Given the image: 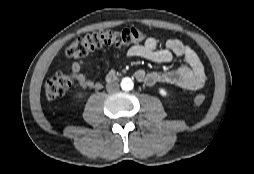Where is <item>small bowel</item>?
Returning <instances> with one entry per match:
<instances>
[{
    "label": "small bowel",
    "instance_id": "small-bowel-1",
    "mask_svg": "<svg viewBox=\"0 0 254 174\" xmlns=\"http://www.w3.org/2000/svg\"><path fill=\"white\" fill-rule=\"evenodd\" d=\"M126 54L130 58L138 57L155 63H169L175 56L185 61V64L176 70L168 72L137 70L135 72L137 81L146 86L167 83L186 90L195 91L201 89L207 81V75L199 56L191 47L180 40L169 39L161 47L156 38L149 36L142 43L130 46ZM84 63V60L74 62L71 67V75L84 88H100L101 84L98 81L82 73Z\"/></svg>",
    "mask_w": 254,
    "mask_h": 174
}]
</instances>
